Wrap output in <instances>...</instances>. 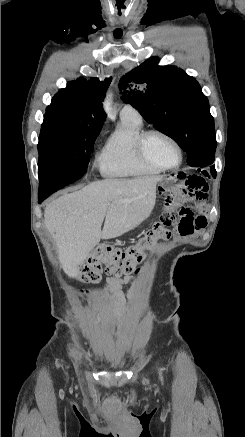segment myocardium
I'll return each mask as SVG.
<instances>
[{
    "label": "myocardium",
    "mask_w": 245,
    "mask_h": 437,
    "mask_svg": "<svg viewBox=\"0 0 245 437\" xmlns=\"http://www.w3.org/2000/svg\"><path fill=\"white\" fill-rule=\"evenodd\" d=\"M152 135H159V136L167 139L169 142H171L174 145V147L176 148V150L178 152V162L175 165H173V166L162 165V164L152 160L147 155L146 150H145V144H146L147 139ZM136 150H137V153L142 161H144L146 164H148L150 166L156 167V168L164 170V171L177 169L183 161V151H182V148H181L180 144L178 143V141L173 136L168 134L167 132H165L163 130H159V129H150V130L143 131L139 135V137L137 138Z\"/></svg>",
    "instance_id": "myocardium-1"
}]
</instances>
